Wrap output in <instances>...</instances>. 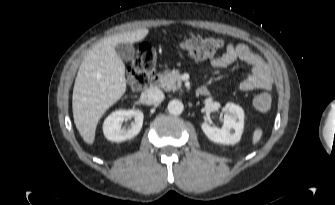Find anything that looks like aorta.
Listing matches in <instances>:
<instances>
[{"mask_svg": "<svg viewBox=\"0 0 335 205\" xmlns=\"http://www.w3.org/2000/svg\"><path fill=\"white\" fill-rule=\"evenodd\" d=\"M168 111L172 115H180L184 110V105L180 100L174 99L168 103Z\"/></svg>", "mask_w": 335, "mask_h": 205, "instance_id": "obj_1", "label": "aorta"}]
</instances>
